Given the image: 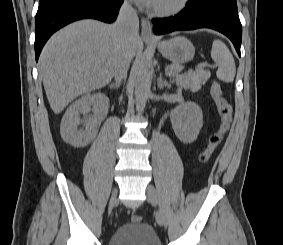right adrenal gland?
I'll return each mask as SVG.
<instances>
[{
	"label": "right adrenal gland",
	"instance_id": "2a0ac1e0",
	"mask_svg": "<svg viewBox=\"0 0 283 245\" xmlns=\"http://www.w3.org/2000/svg\"><path fill=\"white\" fill-rule=\"evenodd\" d=\"M120 86V82L119 83H116V84H110L109 85V88L110 89H116V88H118Z\"/></svg>",
	"mask_w": 283,
	"mask_h": 245
}]
</instances>
